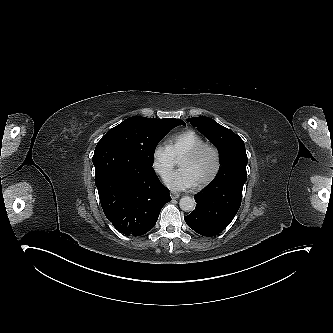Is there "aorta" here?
<instances>
[{"label":"aorta","mask_w":333,"mask_h":333,"mask_svg":"<svg viewBox=\"0 0 333 333\" xmlns=\"http://www.w3.org/2000/svg\"><path fill=\"white\" fill-rule=\"evenodd\" d=\"M196 202L189 196H184L180 199L179 206L185 212H191L195 209Z\"/></svg>","instance_id":"762f6f07"}]
</instances>
